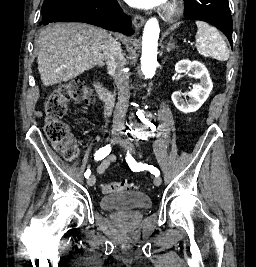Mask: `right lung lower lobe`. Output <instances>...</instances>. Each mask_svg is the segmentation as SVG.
I'll use <instances>...</instances> for the list:
<instances>
[{"instance_id":"obj_1","label":"right lung lower lobe","mask_w":256,"mask_h":267,"mask_svg":"<svg viewBox=\"0 0 256 267\" xmlns=\"http://www.w3.org/2000/svg\"><path fill=\"white\" fill-rule=\"evenodd\" d=\"M40 25L52 22H84L125 35L133 34L131 19L124 15L116 0H92L79 7L54 6L41 12Z\"/></svg>"}]
</instances>
